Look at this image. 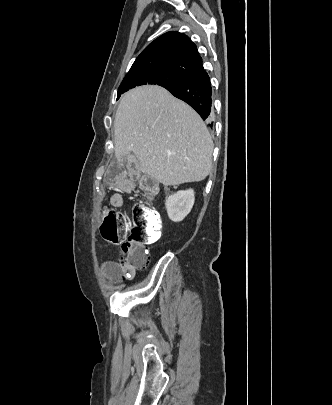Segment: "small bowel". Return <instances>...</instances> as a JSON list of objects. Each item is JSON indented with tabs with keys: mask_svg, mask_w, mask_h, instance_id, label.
Listing matches in <instances>:
<instances>
[{
	"mask_svg": "<svg viewBox=\"0 0 332 405\" xmlns=\"http://www.w3.org/2000/svg\"><path fill=\"white\" fill-rule=\"evenodd\" d=\"M110 172L102 173V182L104 186H124L125 181L129 186H137L140 181V172H125V162H111L109 164ZM110 205L115 206L117 211L124 209V204L119 195L110 198ZM104 274L111 279L120 281L125 271L114 261L105 262L102 266Z\"/></svg>",
	"mask_w": 332,
	"mask_h": 405,
	"instance_id": "obj_1",
	"label": "small bowel"
}]
</instances>
